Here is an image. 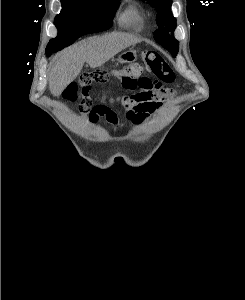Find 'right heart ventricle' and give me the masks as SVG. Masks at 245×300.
Returning a JSON list of instances; mask_svg holds the SVG:
<instances>
[{
  "label": "right heart ventricle",
  "instance_id": "e07e8e85",
  "mask_svg": "<svg viewBox=\"0 0 245 300\" xmlns=\"http://www.w3.org/2000/svg\"><path fill=\"white\" fill-rule=\"evenodd\" d=\"M122 26L139 27L143 23L142 16L135 5H130L119 17Z\"/></svg>",
  "mask_w": 245,
  "mask_h": 300
}]
</instances>
